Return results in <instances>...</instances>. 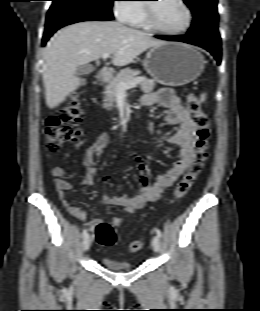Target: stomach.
Listing matches in <instances>:
<instances>
[{
    "instance_id": "stomach-1",
    "label": "stomach",
    "mask_w": 260,
    "mask_h": 311,
    "mask_svg": "<svg viewBox=\"0 0 260 311\" xmlns=\"http://www.w3.org/2000/svg\"><path fill=\"white\" fill-rule=\"evenodd\" d=\"M204 63L203 55L192 46L166 42L147 52L144 67L160 84L182 86L202 74Z\"/></svg>"
}]
</instances>
